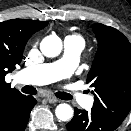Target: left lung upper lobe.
I'll return each instance as SVG.
<instances>
[{"label": "left lung upper lobe", "instance_id": "5c2ea615", "mask_svg": "<svg viewBox=\"0 0 131 131\" xmlns=\"http://www.w3.org/2000/svg\"><path fill=\"white\" fill-rule=\"evenodd\" d=\"M98 50L87 76L94 88L93 110L116 128L131 109V44L115 28L92 26Z\"/></svg>", "mask_w": 131, "mask_h": 131}]
</instances>
